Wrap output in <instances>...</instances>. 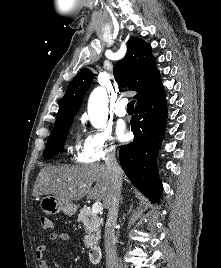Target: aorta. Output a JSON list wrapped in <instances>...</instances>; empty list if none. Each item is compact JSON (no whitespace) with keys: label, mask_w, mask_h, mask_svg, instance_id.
I'll use <instances>...</instances> for the list:
<instances>
[{"label":"aorta","mask_w":221,"mask_h":268,"mask_svg":"<svg viewBox=\"0 0 221 268\" xmlns=\"http://www.w3.org/2000/svg\"><path fill=\"white\" fill-rule=\"evenodd\" d=\"M88 115L93 127L100 129L108 118V96L102 87L95 88L88 100Z\"/></svg>","instance_id":"aorta-1"}]
</instances>
